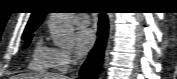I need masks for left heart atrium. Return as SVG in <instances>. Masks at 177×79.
I'll use <instances>...</instances> for the list:
<instances>
[{
	"label": "left heart atrium",
	"instance_id": "obj_1",
	"mask_svg": "<svg viewBox=\"0 0 177 79\" xmlns=\"http://www.w3.org/2000/svg\"><path fill=\"white\" fill-rule=\"evenodd\" d=\"M95 43V34L91 29H80L75 35V46L79 56L86 55Z\"/></svg>",
	"mask_w": 177,
	"mask_h": 79
}]
</instances>
